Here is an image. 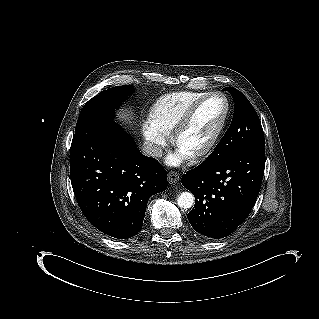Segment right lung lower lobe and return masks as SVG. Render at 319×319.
Listing matches in <instances>:
<instances>
[{"instance_id": "right-lung-lower-lobe-1", "label": "right lung lower lobe", "mask_w": 319, "mask_h": 319, "mask_svg": "<svg viewBox=\"0 0 319 319\" xmlns=\"http://www.w3.org/2000/svg\"><path fill=\"white\" fill-rule=\"evenodd\" d=\"M70 155L73 191L87 220L108 236H135L149 198L167 188L165 169L115 122L76 133Z\"/></svg>"}]
</instances>
